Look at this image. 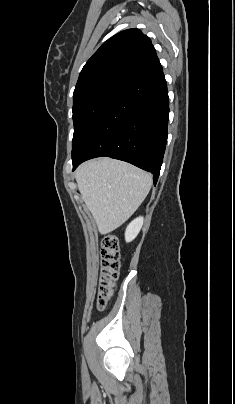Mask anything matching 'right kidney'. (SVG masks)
I'll use <instances>...</instances> for the list:
<instances>
[{
  "mask_svg": "<svg viewBox=\"0 0 235 404\" xmlns=\"http://www.w3.org/2000/svg\"><path fill=\"white\" fill-rule=\"evenodd\" d=\"M143 225V218L139 217L133 220L127 227L125 232V240L126 242H131L136 238L138 233L140 232Z\"/></svg>",
  "mask_w": 235,
  "mask_h": 404,
  "instance_id": "ca27d5eb",
  "label": "right kidney"
}]
</instances>
